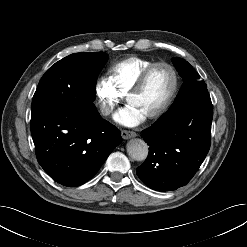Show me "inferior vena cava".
Segmentation results:
<instances>
[{
    "label": "inferior vena cava",
    "mask_w": 247,
    "mask_h": 247,
    "mask_svg": "<svg viewBox=\"0 0 247 247\" xmlns=\"http://www.w3.org/2000/svg\"><path fill=\"white\" fill-rule=\"evenodd\" d=\"M109 112H110L109 109H106V108L102 110L103 115H108Z\"/></svg>",
    "instance_id": "1"
}]
</instances>
